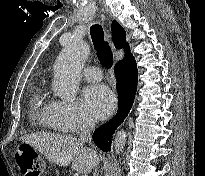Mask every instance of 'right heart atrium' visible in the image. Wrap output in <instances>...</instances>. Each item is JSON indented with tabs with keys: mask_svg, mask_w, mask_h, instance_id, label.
<instances>
[{
	"mask_svg": "<svg viewBox=\"0 0 205 176\" xmlns=\"http://www.w3.org/2000/svg\"><path fill=\"white\" fill-rule=\"evenodd\" d=\"M53 115L60 127L70 131L84 129L93 124L92 118L75 102L54 101Z\"/></svg>",
	"mask_w": 205,
	"mask_h": 176,
	"instance_id": "right-heart-atrium-1",
	"label": "right heart atrium"
}]
</instances>
